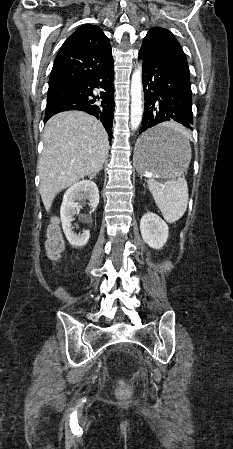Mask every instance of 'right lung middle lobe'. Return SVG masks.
Returning <instances> with one entry per match:
<instances>
[{"label": "right lung middle lobe", "mask_w": 233, "mask_h": 449, "mask_svg": "<svg viewBox=\"0 0 233 449\" xmlns=\"http://www.w3.org/2000/svg\"><path fill=\"white\" fill-rule=\"evenodd\" d=\"M79 94V90L75 86L62 87L48 91L47 106L54 105L61 101L75 98Z\"/></svg>", "instance_id": "right-lung-middle-lobe-1"}]
</instances>
